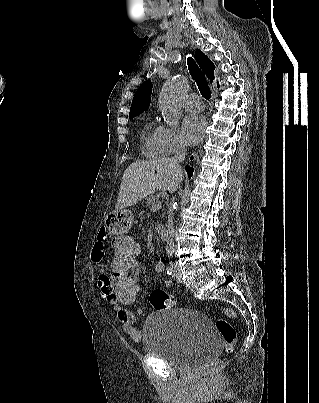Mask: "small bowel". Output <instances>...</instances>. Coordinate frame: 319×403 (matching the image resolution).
<instances>
[{
	"label": "small bowel",
	"instance_id": "1",
	"mask_svg": "<svg viewBox=\"0 0 319 403\" xmlns=\"http://www.w3.org/2000/svg\"><path fill=\"white\" fill-rule=\"evenodd\" d=\"M107 244L108 233L105 229L101 228L91 252V260L95 264H107V259L105 258ZM155 269L157 272H162L164 263L158 261L155 265ZM133 270L135 282H138L139 268H133ZM164 284L168 288L173 286V282L170 280H166ZM97 286L104 301L115 311L117 319L122 323L125 334L134 342L141 341L142 333L137 327V316L141 314L142 310L140 308L136 310L127 309L126 306L131 304H117V300H114L113 296V273L106 272L104 275H101L98 279ZM136 295H138V291H136Z\"/></svg>",
	"mask_w": 319,
	"mask_h": 403
}]
</instances>
